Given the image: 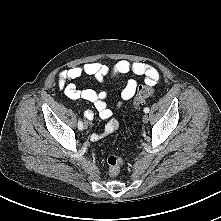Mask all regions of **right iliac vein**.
Segmentation results:
<instances>
[{
    "instance_id": "right-iliac-vein-1",
    "label": "right iliac vein",
    "mask_w": 221,
    "mask_h": 221,
    "mask_svg": "<svg viewBox=\"0 0 221 221\" xmlns=\"http://www.w3.org/2000/svg\"><path fill=\"white\" fill-rule=\"evenodd\" d=\"M84 128H85V129L87 128V123H86V122L84 123Z\"/></svg>"
}]
</instances>
